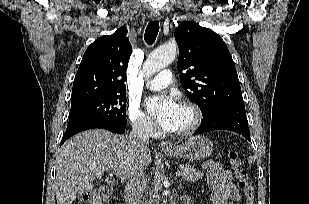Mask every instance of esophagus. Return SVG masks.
<instances>
[{
  "label": "esophagus",
  "mask_w": 309,
  "mask_h": 204,
  "mask_svg": "<svg viewBox=\"0 0 309 204\" xmlns=\"http://www.w3.org/2000/svg\"><path fill=\"white\" fill-rule=\"evenodd\" d=\"M160 18H161V16H160L159 13H151V19L153 21L160 20ZM159 146H160V148L162 150H169V149H171L173 147L172 144L170 142H168V141L160 142Z\"/></svg>",
  "instance_id": "esophagus-1"
}]
</instances>
